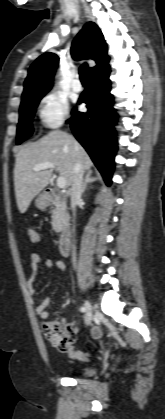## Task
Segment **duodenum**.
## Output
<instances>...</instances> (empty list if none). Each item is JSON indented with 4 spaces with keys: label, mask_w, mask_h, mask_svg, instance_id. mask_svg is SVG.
Masks as SVG:
<instances>
[{
    "label": "duodenum",
    "mask_w": 165,
    "mask_h": 419,
    "mask_svg": "<svg viewBox=\"0 0 165 419\" xmlns=\"http://www.w3.org/2000/svg\"><path fill=\"white\" fill-rule=\"evenodd\" d=\"M43 199L49 205H52L58 202L66 203V200L60 195V193L53 189L47 190L43 194ZM70 241H71V228L68 224H64L61 230L59 244H58L59 252L61 255L66 256L69 253Z\"/></svg>",
    "instance_id": "obj_1"
}]
</instances>
